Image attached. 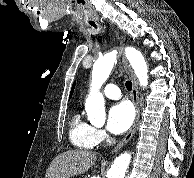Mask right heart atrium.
<instances>
[{
    "instance_id": "1",
    "label": "right heart atrium",
    "mask_w": 194,
    "mask_h": 178,
    "mask_svg": "<svg viewBox=\"0 0 194 178\" xmlns=\"http://www.w3.org/2000/svg\"><path fill=\"white\" fill-rule=\"evenodd\" d=\"M109 139L108 134L104 129L101 128H94L93 129V141L95 144H101L107 142Z\"/></svg>"
}]
</instances>
